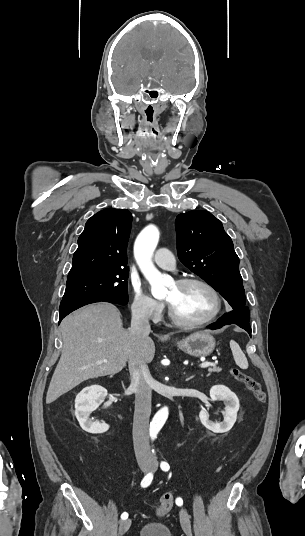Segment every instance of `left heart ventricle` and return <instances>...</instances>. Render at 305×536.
<instances>
[{
	"mask_svg": "<svg viewBox=\"0 0 305 536\" xmlns=\"http://www.w3.org/2000/svg\"><path fill=\"white\" fill-rule=\"evenodd\" d=\"M164 299L181 316L190 321L205 320L213 315L218 308L215 294L199 284L180 287L175 283Z\"/></svg>",
	"mask_w": 305,
	"mask_h": 536,
	"instance_id": "b2bd125f",
	"label": "left heart ventricle"
}]
</instances>
